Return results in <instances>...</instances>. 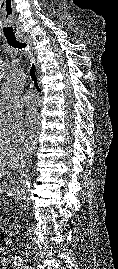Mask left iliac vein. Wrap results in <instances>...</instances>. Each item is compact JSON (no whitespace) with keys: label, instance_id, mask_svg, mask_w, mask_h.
<instances>
[{"label":"left iliac vein","instance_id":"1","mask_svg":"<svg viewBox=\"0 0 118 269\" xmlns=\"http://www.w3.org/2000/svg\"><path fill=\"white\" fill-rule=\"evenodd\" d=\"M25 269H34V268L31 266H27Z\"/></svg>","mask_w":118,"mask_h":269}]
</instances>
